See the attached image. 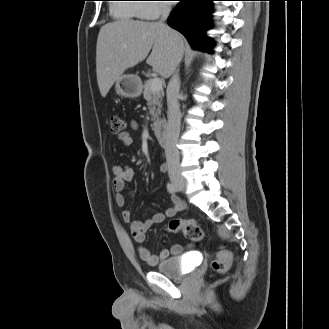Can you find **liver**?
Segmentation results:
<instances>
[{"label":"liver","instance_id":"6515ba94","mask_svg":"<svg viewBox=\"0 0 329 329\" xmlns=\"http://www.w3.org/2000/svg\"><path fill=\"white\" fill-rule=\"evenodd\" d=\"M184 50V37L157 22L127 19L107 23L99 31L96 46L97 82L102 97H106L128 68L147 57L153 71L168 78L180 63Z\"/></svg>","mask_w":329,"mask_h":329}]
</instances>
